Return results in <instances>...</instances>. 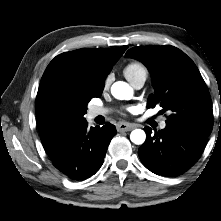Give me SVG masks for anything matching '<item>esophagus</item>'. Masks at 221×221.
<instances>
[{"mask_svg":"<svg viewBox=\"0 0 221 221\" xmlns=\"http://www.w3.org/2000/svg\"><path fill=\"white\" fill-rule=\"evenodd\" d=\"M116 128L118 132H127V131H131L132 129H134L135 126L129 123H118L116 125Z\"/></svg>","mask_w":221,"mask_h":221,"instance_id":"esophagus-1","label":"esophagus"}]
</instances>
